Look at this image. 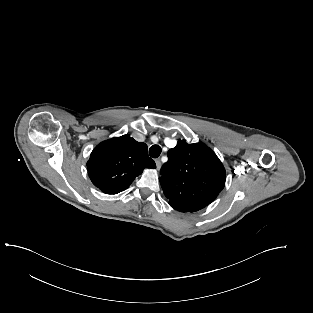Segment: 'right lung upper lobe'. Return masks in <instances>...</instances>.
I'll use <instances>...</instances> for the list:
<instances>
[{"label":"right lung upper lobe","mask_w":313,"mask_h":313,"mask_svg":"<svg viewBox=\"0 0 313 313\" xmlns=\"http://www.w3.org/2000/svg\"><path fill=\"white\" fill-rule=\"evenodd\" d=\"M147 149L129 135L99 143L87 162L92 183L106 194L124 191L145 168H156Z\"/></svg>","instance_id":"1"}]
</instances>
